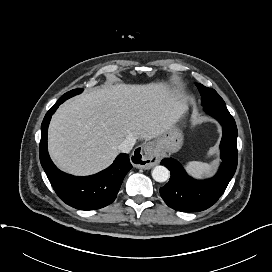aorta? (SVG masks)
Returning <instances> with one entry per match:
<instances>
[{"label": "aorta", "instance_id": "aorta-1", "mask_svg": "<svg viewBox=\"0 0 272 272\" xmlns=\"http://www.w3.org/2000/svg\"><path fill=\"white\" fill-rule=\"evenodd\" d=\"M152 177L157 182H165L170 177V172L165 166H155L152 170Z\"/></svg>", "mask_w": 272, "mask_h": 272}]
</instances>
